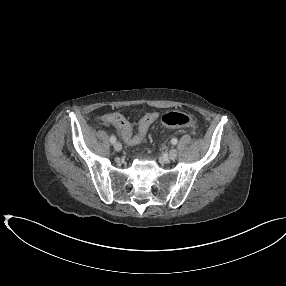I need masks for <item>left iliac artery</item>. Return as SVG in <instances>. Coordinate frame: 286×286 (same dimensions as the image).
<instances>
[{
  "label": "left iliac artery",
  "mask_w": 286,
  "mask_h": 286,
  "mask_svg": "<svg viewBox=\"0 0 286 286\" xmlns=\"http://www.w3.org/2000/svg\"><path fill=\"white\" fill-rule=\"evenodd\" d=\"M177 142H178V140H177L176 138H173V139L171 140V143H172L173 145H176Z\"/></svg>",
  "instance_id": "left-iliac-artery-1"
}]
</instances>
